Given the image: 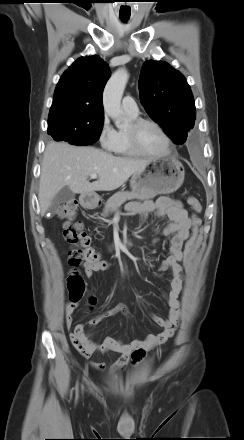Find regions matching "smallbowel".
<instances>
[{"label":"small bowel","mask_w":244,"mask_h":440,"mask_svg":"<svg viewBox=\"0 0 244 440\" xmlns=\"http://www.w3.org/2000/svg\"><path fill=\"white\" fill-rule=\"evenodd\" d=\"M131 213L141 214L147 218L151 213L157 217H166L169 223L160 231L161 235L169 241V255L162 262L160 270L170 272L169 288L164 294V298L169 307L166 318L151 315L152 319L163 329L159 334L148 335L144 340H132L129 343L120 339L107 337L102 343L95 342L90 334H86V326L95 327L103 318L113 316L117 313L124 314L129 318V312L122 304L115 308L97 315L87 324H78L70 332V339L77 351L85 358H89L95 351L102 353L113 352L119 354V358L110 367L112 372L121 371L128 365L137 364L144 356L145 351L165 343L177 327L180 316L179 295L182 290V266L180 264L183 253L182 246L189 235L192 220L188 216L182 203L178 200L167 197H160L156 201H145L142 203L134 202L128 205ZM158 239H155L157 242ZM84 271L87 277H91L95 272L103 271L107 265L92 264L85 262ZM78 308L77 303H71L66 307L65 324L68 329L72 326L73 314ZM91 366L98 370L107 369L104 363L92 362Z\"/></svg>","instance_id":"c3829d8e"}]
</instances>
